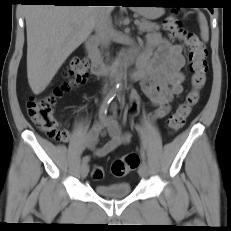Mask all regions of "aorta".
<instances>
[{"instance_id": "762f6f07", "label": "aorta", "mask_w": 231, "mask_h": 231, "mask_svg": "<svg viewBox=\"0 0 231 231\" xmlns=\"http://www.w3.org/2000/svg\"><path fill=\"white\" fill-rule=\"evenodd\" d=\"M122 82H123V75H119L116 80H115V83L117 85V88H120L121 85H122Z\"/></svg>"}]
</instances>
